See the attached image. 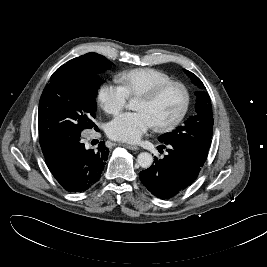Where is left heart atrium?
Masks as SVG:
<instances>
[{
  "instance_id": "1",
  "label": "left heart atrium",
  "mask_w": 267,
  "mask_h": 267,
  "mask_svg": "<svg viewBox=\"0 0 267 267\" xmlns=\"http://www.w3.org/2000/svg\"><path fill=\"white\" fill-rule=\"evenodd\" d=\"M153 127L142 112H126L118 115L107 125L110 138L127 143H136Z\"/></svg>"
}]
</instances>
